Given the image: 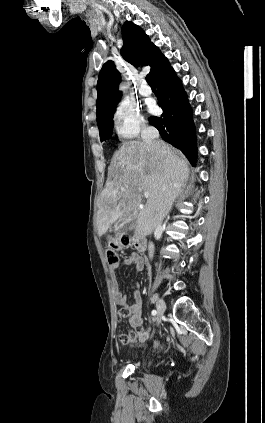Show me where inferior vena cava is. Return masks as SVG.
Returning <instances> with one entry per match:
<instances>
[{
	"label": "inferior vena cava",
	"instance_id": "1",
	"mask_svg": "<svg viewBox=\"0 0 265 423\" xmlns=\"http://www.w3.org/2000/svg\"><path fill=\"white\" fill-rule=\"evenodd\" d=\"M142 141L147 145L159 144V132L153 126L144 125L141 131ZM149 258L152 259L154 255V244L149 242L148 245Z\"/></svg>",
	"mask_w": 265,
	"mask_h": 423
}]
</instances>
